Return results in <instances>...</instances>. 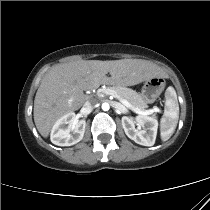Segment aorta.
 <instances>
[{"label":"aorta","mask_w":210,"mask_h":210,"mask_svg":"<svg viewBox=\"0 0 210 210\" xmlns=\"http://www.w3.org/2000/svg\"><path fill=\"white\" fill-rule=\"evenodd\" d=\"M109 109H110V105L108 103L105 102V103L102 104V110L103 111H108Z\"/></svg>","instance_id":"aorta-1"}]
</instances>
